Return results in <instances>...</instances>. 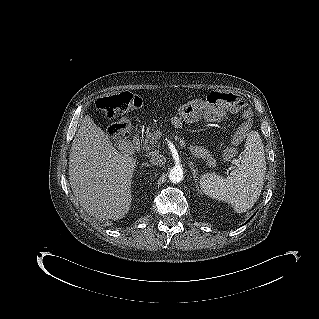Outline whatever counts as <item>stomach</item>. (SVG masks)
Listing matches in <instances>:
<instances>
[{
	"label": "stomach",
	"mask_w": 319,
	"mask_h": 319,
	"mask_svg": "<svg viewBox=\"0 0 319 319\" xmlns=\"http://www.w3.org/2000/svg\"><path fill=\"white\" fill-rule=\"evenodd\" d=\"M179 114L187 123H196L203 117L202 107L194 102H188L179 109Z\"/></svg>",
	"instance_id": "0dacf381"
}]
</instances>
